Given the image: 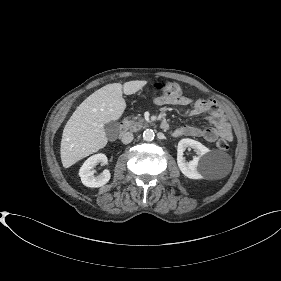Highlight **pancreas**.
I'll return each mask as SVG.
<instances>
[{
	"instance_id": "1",
	"label": "pancreas",
	"mask_w": 281,
	"mask_h": 281,
	"mask_svg": "<svg viewBox=\"0 0 281 281\" xmlns=\"http://www.w3.org/2000/svg\"><path fill=\"white\" fill-rule=\"evenodd\" d=\"M126 127L133 132L141 130L143 127L146 126V122L143 118H132L130 120H124Z\"/></svg>"
}]
</instances>
